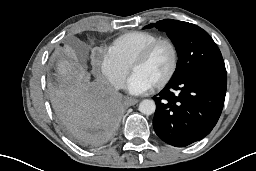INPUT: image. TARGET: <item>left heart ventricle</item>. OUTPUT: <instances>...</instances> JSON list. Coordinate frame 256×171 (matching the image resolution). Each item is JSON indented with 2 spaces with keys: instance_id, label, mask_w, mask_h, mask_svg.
Here are the masks:
<instances>
[{
  "instance_id": "obj_1",
  "label": "left heart ventricle",
  "mask_w": 256,
  "mask_h": 171,
  "mask_svg": "<svg viewBox=\"0 0 256 171\" xmlns=\"http://www.w3.org/2000/svg\"><path fill=\"white\" fill-rule=\"evenodd\" d=\"M172 64V53L166 44L158 46L150 57L136 65L132 72L142 76L152 85L160 82L169 72Z\"/></svg>"
}]
</instances>
